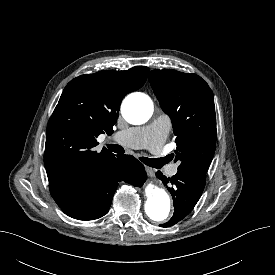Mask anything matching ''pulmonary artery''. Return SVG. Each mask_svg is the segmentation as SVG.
<instances>
[{
    "instance_id": "e3ab8cb5",
    "label": "pulmonary artery",
    "mask_w": 275,
    "mask_h": 275,
    "mask_svg": "<svg viewBox=\"0 0 275 275\" xmlns=\"http://www.w3.org/2000/svg\"><path fill=\"white\" fill-rule=\"evenodd\" d=\"M169 119L160 115L151 124L142 127H131L118 131L114 139L124 146L135 149H149L156 152L164 142L169 131ZM178 169L176 165L169 168V174L175 175Z\"/></svg>"
}]
</instances>
